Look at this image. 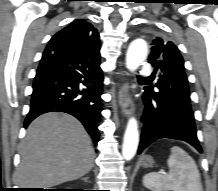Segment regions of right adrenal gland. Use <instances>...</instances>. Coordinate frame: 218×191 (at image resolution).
<instances>
[{"label": "right adrenal gland", "mask_w": 218, "mask_h": 191, "mask_svg": "<svg viewBox=\"0 0 218 191\" xmlns=\"http://www.w3.org/2000/svg\"><path fill=\"white\" fill-rule=\"evenodd\" d=\"M82 180H84L85 182H88V177H84L82 178Z\"/></svg>", "instance_id": "right-adrenal-gland-1"}]
</instances>
